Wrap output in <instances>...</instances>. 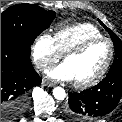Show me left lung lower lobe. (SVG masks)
Segmentation results:
<instances>
[{
	"instance_id": "left-lung-lower-lobe-1",
	"label": "left lung lower lobe",
	"mask_w": 122,
	"mask_h": 122,
	"mask_svg": "<svg viewBox=\"0 0 122 122\" xmlns=\"http://www.w3.org/2000/svg\"><path fill=\"white\" fill-rule=\"evenodd\" d=\"M122 97V68L109 71L106 78L81 93H69L64 112L79 121L96 119L110 113Z\"/></svg>"
}]
</instances>
